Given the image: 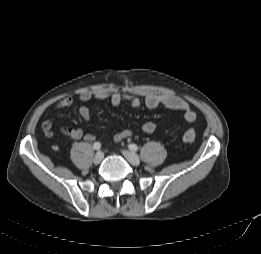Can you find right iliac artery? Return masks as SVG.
Masks as SVG:
<instances>
[{
	"mask_svg": "<svg viewBox=\"0 0 261 254\" xmlns=\"http://www.w3.org/2000/svg\"><path fill=\"white\" fill-rule=\"evenodd\" d=\"M93 148L95 150H99L101 148V144L99 142H95L94 145H93Z\"/></svg>",
	"mask_w": 261,
	"mask_h": 254,
	"instance_id": "right-iliac-artery-1",
	"label": "right iliac artery"
}]
</instances>
